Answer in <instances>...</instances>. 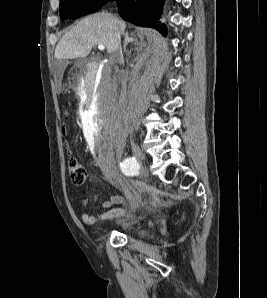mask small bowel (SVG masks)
Returning <instances> with one entry per match:
<instances>
[{
	"label": "small bowel",
	"mask_w": 267,
	"mask_h": 298,
	"mask_svg": "<svg viewBox=\"0 0 267 298\" xmlns=\"http://www.w3.org/2000/svg\"><path fill=\"white\" fill-rule=\"evenodd\" d=\"M111 182L120 189L123 194L111 196L102 203L105 209L101 214L94 216L88 213H83L81 219L87 225H94L99 221H108L121 219L126 214V211L134 198L135 190L122 178L111 177ZM87 203V200H85Z\"/></svg>",
	"instance_id": "1"
}]
</instances>
